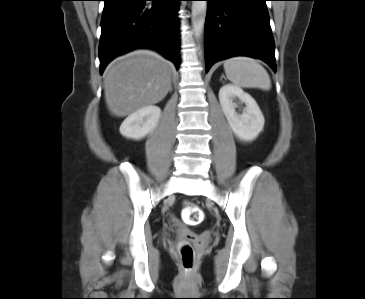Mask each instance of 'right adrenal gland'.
<instances>
[{"mask_svg":"<svg viewBox=\"0 0 365 299\" xmlns=\"http://www.w3.org/2000/svg\"><path fill=\"white\" fill-rule=\"evenodd\" d=\"M170 91H172V86H171V88H170Z\"/></svg>","mask_w":365,"mask_h":299,"instance_id":"1","label":"right adrenal gland"}]
</instances>
